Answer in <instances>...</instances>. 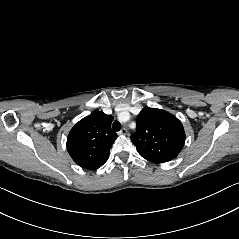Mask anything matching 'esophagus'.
Wrapping results in <instances>:
<instances>
[{
	"label": "esophagus",
	"mask_w": 239,
	"mask_h": 239,
	"mask_svg": "<svg viewBox=\"0 0 239 239\" xmlns=\"http://www.w3.org/2000/svg\"><path fill=\"white\" fill-rule=\"evenodd\" d=\"M119 134L127 135V134H128L127 128H122V129L119 131Z\"/></svg>",
	"instance_id": "obj_1"
}]
</instances>
